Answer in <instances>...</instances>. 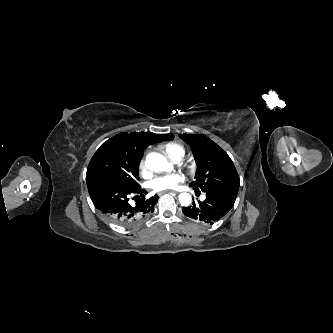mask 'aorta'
Instances as JSON below:
<instances>
[{"mask_svg":"<svg viewBox=\"0 0 333 333\" xmlns=\"http://www.w3.org/2000/svg\"><path fill=\"white\" fill-rule=\"evenodd\" d=\"M145 164L148 169L156 172L160 171H171L173 168V165L167 161V159L159 154L152 152L147 155ZM191 195L189 193H181L179 195V202L182 206H189L191 203Z\"/></svg>","mask_w":333,"mask_h":333,"instance_id":"aorta-1","label":"aorta"}]
</instances>
